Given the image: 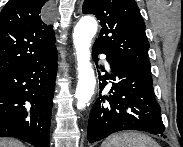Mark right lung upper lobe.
I'll return each instance as SVG.
<instances>
[{"label":"right lung upper lobe","instance_id":"obj_1","mask_svg":"<svg viewBox=\"0 0 183 147\" xmlns=\"http://www.w3.org/2000/svg\"><path fill=\"white\" fill-rule=\"evenodd\" d=\"M46 0H9L0 13V74L57 51L52 25L41 20Z\"/></svg>","mask_w":183,"mask_h":147}]
</instances>
